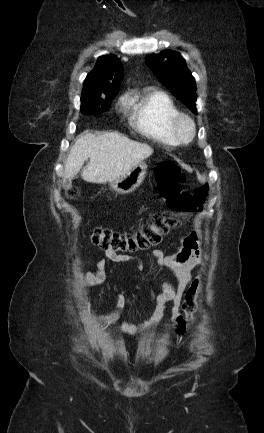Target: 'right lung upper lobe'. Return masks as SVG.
Masks as SVG:
<instances>
[{"mask_svg":"<svg viewBox=\"0 0 264 433\" xmlns=\"http://www.w3.org/2000/svg\"><path fill=\"white\" fill-rule=\"evenodd\" d=\"M123 78V66L114 55L102 56L84 81L81 99L115 96Z\"/></svg>","mask_w":264,"mask_h":433,"instance_id":"1","label":"right lung upper lobe"}]
</instances>
